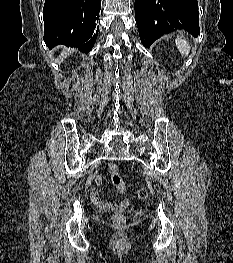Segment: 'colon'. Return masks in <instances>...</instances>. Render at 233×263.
Here are the masks:
<instances>
[{
    "mask_svg": "<svg viewBox=\"0 0 233 263\" xmlns=\"http://www.w3.org/2000/svg\"><path fill=\"white\" fill-rule=\"evenodd\" d=\"M110 170L112 172V180L116 188L120 191L124 190L125 185L119 175L117 174V166L116 165H111ZM92 186L94 185L93 183L91 184ZM93 190L95 189L94 187L92 188ZM136 196L139 199H147L149 196V192L145 188H140L136 191ZM112 222L116 227H122L126 223V218L123 214L121 213H115L112 215Z\"/></svg>",
    "mask_w": 233,
    "mask_h": 263,
    "instance_id": "5ec220e1",
    "label": "colon"
}]
</instances>
